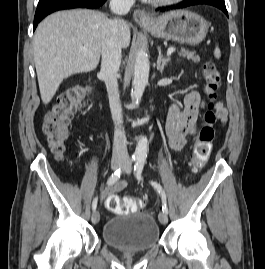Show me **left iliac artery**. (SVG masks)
<instances>
[{"label": "left iliac artery", "instance_id": "obj_1", "mask_svg": "<svg viewBox=\"0 0 265 269\" xmlns=\"http://www.w3.org/2000/svg\"><path fill=\"white\" fill-rule=\"evenodd\" d=\"M146 161L145 156L137 158L136 164L134 165L135 176L138 180H142V170ZM152 186L158 191L162 199V210L165 214H168L166 194L162 186L157 182H151Z\"/></svg>", "mask_w": 265, "mask_h": 269}]
</instances>
